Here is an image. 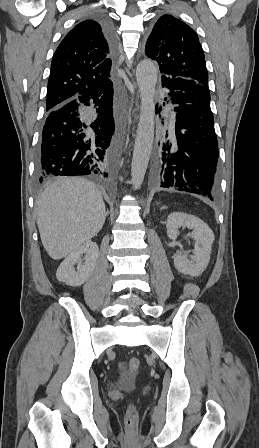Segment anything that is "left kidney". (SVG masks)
Listing matches in <instances>:
<instances>
[{"label": "left kidney", "mask_w": 259, "mask_h": 448, "mask_svg": "<svg viewBox=\"0 0 259 448\" xmlns=\"http://www.w3.org/2000/svg\"><path fill=\"white\" fill-rule=\"evenodd\" d=\"M189 228L193 230L192 238L195 240L194 256L188 260L186 254L178 252L174 258V266L178 272L185 276H201L206 270L211 254V246L214 242V234L209 226L195 216L189 214H181V212H173L169 214L166 222L167 236L170 240H176L178 236V228Z\"/></svg>", "instance_id": "1"}]
</instances>
